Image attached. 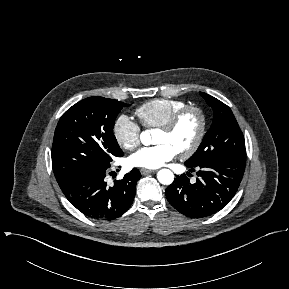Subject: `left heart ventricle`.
Wrapping results in <instances>:
<instances>
[{
    "mask_svg": "<svg viewBox=\"0 0 289 289\" xmlns=\"http://www.w3.org/2000/svg\"><path fill=\"white\" fill-rule=\"evenodd\" d=\"M199 129V118L195 113L183 117L174 131L170 133L159 130L155 136V144L166 143L178 153L188 148L195 139Z\"/></svg>",
    "mask_w": 289,
    "mask_h": 289,
    "instance_id": "left-heart-ventricle-1",
    "label": "left heart ventricle"
}]
</instances>
